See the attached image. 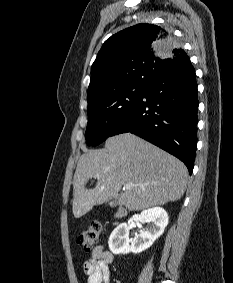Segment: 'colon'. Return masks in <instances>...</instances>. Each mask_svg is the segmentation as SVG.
<instances>
[{"mask_svg": "<svg viewBox=\"0 0 233 283\" xmlns=\"http://www.w3.org/2000/svg\"><path fill=\"white\" fill-rule=\"evenodd\" d=\"M102 226L98 221L91 222L78 236L77 242L89 250L99 241Z\"/></svg>", "mask_w": 233, "mask_h": 283, "instance_id": "obj_1", "label": "colon"}]
</instances>
